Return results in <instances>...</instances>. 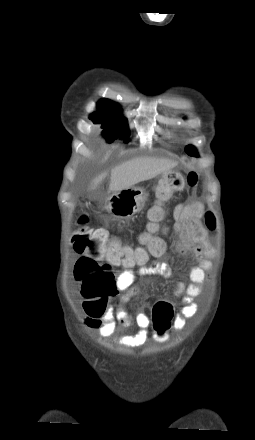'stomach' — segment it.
I'll list each match as a JSON object with an SVG mask.
<instances>
[{
	"label": "stomach",
	"mask_w": 255,
	"mask_h": 440,
	"mask_svg": "<svg viewBox=\"0 0 255 440\" xmlns=\"http://www.w3.org/2000/svg\"><path fill=\"white\" fill-rule=\"evenodd\" d=\"M172 170L164 171L167 178ZM148 194L139 187H130L119 192H113L106 199L104 208L117 221H129L136 213L140 212L146 204Z\"/></svg>",
	"instance_id": "obj_1"
}]
</instances>
